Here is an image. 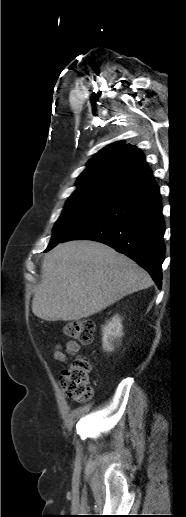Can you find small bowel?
Masks as SVG:
<instances>
[{
	"mask_svg": "<svg viewBox=\"0 0 186 517\" xmlns=\"http://www.w3.org/2000/svg\"><path fill=\"white\" fill-rule=\"evenodd\" d=\"M79 350L80 345L78 342L68 341L65 344L64 350L60 345H57L52 352V356L57 362L65 363L70 359V357L75 356Z\"/></svg>",
	"mask_w": 186,
	"mask_h": 517,
	"instance_id": "1",
	"label": "small bowel"
}]
</instances>
